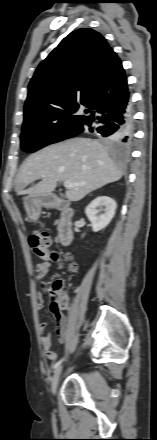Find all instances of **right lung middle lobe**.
<instances>
[{"mask_svg": "<svg viewBox=\"0 0 157 440\" xmlns=\"http://www.w3.org/2000/svg\"><path fill=\"white\" fill-rule=\"evenodd\" d=\"M83 125L44 123L30 121L23 124L20 136L21 149L32 153L44 146L53 144L81 133ZM112 142L110 139H106Z\"/></svg>", "mask_w": 157, "mask_h": 440, "instance_id": "dd1d6c3e", "label": "right lung middle lobe"}]
</instances>
